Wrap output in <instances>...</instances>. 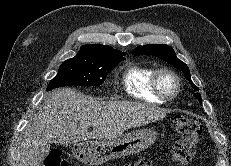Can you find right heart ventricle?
I'll use <instances>...</instances> for the list:
<instances>
[{
    "label": "right heart ventricle",
    "mask_w": 231,
    "mask_h": 166,
    "mask_svg": "<svg viewBox=\"0 0 231 166\" xmlns=\"http://www.w3.org/2000/svg\"><path fill=\"white\" fill-rule=\"evenodd\" d=\"M155 69L151 66L132 65L123 74V86L126 93L136 99L152 103H163L151 89V78Z\"/></svg>",
    "instance_id": "1"
}]
</instances>
